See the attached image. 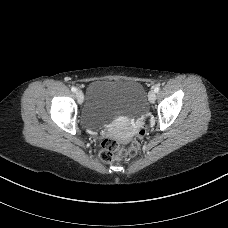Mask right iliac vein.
I'll return each mask as SVG.
<instances>
[{
    "label": "right iliac vein",
    "instance_id": "right-iliac-vein-1",
    "mask_svg": "<svg viewBox=\"0 0 228 228\" xmlns=\"http://www.w3.org/2000/svg\"><path fill=\"white\" fill-rule=\"evenodd\" d=\"M76 97L78 102L81 104L83 102L84 96L81 90L76 91Z\"/></svg>",
    "mask_w": 228,
    "mask_h": 228
}]
</instances>
